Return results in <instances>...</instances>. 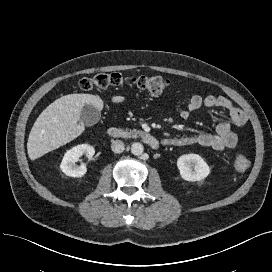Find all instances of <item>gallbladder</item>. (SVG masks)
Instances as JSON below:
<instances>
[{
	"label": "gallbladder",
	"instance_id": "gallbladder-1",
	"mask_svg": "<svg viewBox=\"0 0 272 272\" xmlns=\"http://www.w3.org/2000/svg\"><path fill=\"white\" fill-rule=\"evenodd\" d=\"M101 117L100 111L92 104H85L81 111L80 121L87 127L95 125Z\"/></svg>",
	"mask_w": 272,
	"mask_h": 272
}]
</instances>
